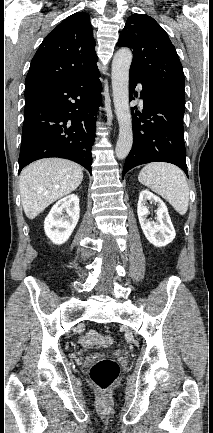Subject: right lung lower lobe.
Listing matches in <instances>:
<instances>
[{
    "instance_id": "obj_1",
    "label": "right lung lower lobe",
    "mask_w": 213,
    "mask_h": 433,
    "mask_svg": "<svg viewBox=\"0 0 213 433\" xmlns=\"http://www.w3.org/2000/svg\"><path fill=\"white\" fill-rule=\"evenodd\" d=\"M98 68L63 84L25 87L19 172L47 157L73 160L91 173L95 116L100 106Z\"/></svg>"
}]
</instances>
